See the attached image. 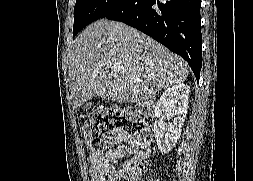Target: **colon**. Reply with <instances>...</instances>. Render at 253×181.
I'll return each mask as SVG.
<instances>
[{
	"mask_svg": "<svg viewBox=\"0 0 253 181\" xmlns=\"http://www.w3.org/2000/svg\"><path fill=\"white\" fill-rule=\"evenodd\" d=\"M84 138L93 152H100L123 139L132 141L137 158L128 162L126 168L114 175L111 181H140L144 171L142 157L147 154L152 140L146 122L122 110L98 112L84 127Z\"/></svg>",
	"mask_w": 253,
	"mask_h": 181,
	"instance_id": "colon-1",
	"label": "colon"
}]
</instances>
